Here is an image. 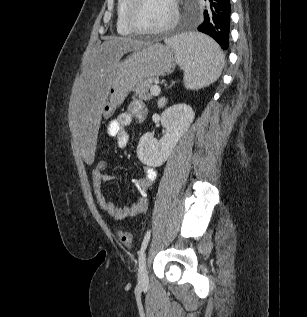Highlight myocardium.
Listing matches in <instances>:
<instances>
[{
	"label": "myocardium",
	"instance_id": "1",
	"mask_svg": "<svg viewBox=\"0 0 307 317\" xmlns=\"http://www.w3.org/2000/svg\"><path fill=\"white\" fill-rule=\"evenodd\" d=\"M140 3V0H128L126 6L125 18L128 27L137 34L143 35H159L170 31L178 22L179 19V8L177 0H170L172 6V15L167 23L158 28H144L141 27L135 19V9Z\"/></svg>",
	"mask_w": 307,
	"mask_h": 317
}]
</instances>
